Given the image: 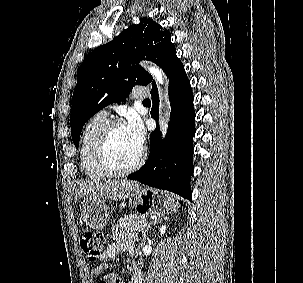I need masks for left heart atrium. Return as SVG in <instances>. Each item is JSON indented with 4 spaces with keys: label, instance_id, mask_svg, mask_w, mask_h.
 I'll return each instance as SVG.
<instances>
[{
    "label": "left heart atrium",
    "instance_id": "obj_1",
    "mask_svg": "<svg viewBox=\"0 0 303 283\" xmlns=\"http://www.w3.org/2000/svg\"><path fill=\"white\" fill-rule=\"evenodd\" d=\"M124 128L133 143L141 149L145 142V130L140 118L136 114H130Z\"/></svg>",
    "mask_w": 303,
    "mask_h": 283
}]
</instances>
